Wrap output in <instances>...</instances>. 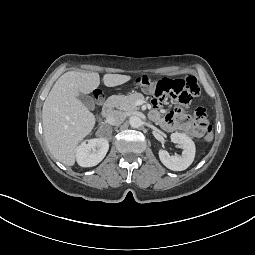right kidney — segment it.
<instances>
[{
    "instance_id": "obj_1",
    "label": "right kidney",
    "mask_w": 255,
    "mask_h": 255,
    "mask_svg": "<svg viewBox=\"0 0 255 255\" xmlns=\"http://www.w3.org/2000/svg\"><path fill=\"white\" fill-rule=\"evenodd\" d=\"M109 149L105 138L90 139L76 148V160L81 167H93L100 163Z\"/></svg>"
}]
</instances>
